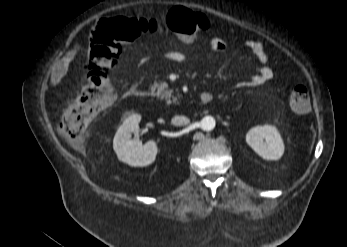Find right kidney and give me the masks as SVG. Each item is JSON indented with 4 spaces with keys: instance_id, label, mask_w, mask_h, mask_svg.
Segmentation results:
<instances>
[{
    "instance_id": "obj_1",
    "label": "right kidney",
    "mask_w": 347,
    "mask_h": 247,
    "mask_svg": "<svg viewBox=\"0 0 347 247\" xmlns=\"http://www.w3.org/2000/svg\"><path fill=\"white\" fill-rule=\"evenodd\" d=\"M140 120L141 116L138 114L128 117L118 128L113 140V148L118 159L133 167L152 164L158 152L154 141L142 145L138 138L131 139L132 133L139 130Z\"/></svg>"
}]
</instances>
